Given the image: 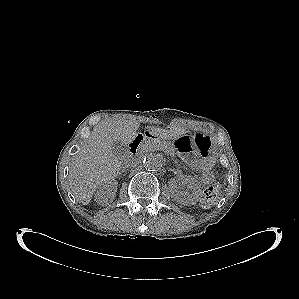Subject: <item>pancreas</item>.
Here are the masks:
<instances>
[{"instance_id": "obj_1", "label": "pancreas", "mask_w": 299, "mask_h": 299, "mask_svg": "<svg viewBox=\"0 0 299 299\" xmlns=\"http://www.w3.org/2000/svg\"><path fill=\"white\" fill-rule=\"evenodd\" d=\"M143 150L145 152L161 150L169 155L175 154V148L168 142L162 140H148L143 145Z\"/></svg>"}]
</instances>
